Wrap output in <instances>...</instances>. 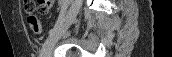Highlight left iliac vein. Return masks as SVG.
<instances>
[{
    "mask_svg": "<svg viewBox=\"0 0 172 57\" xmlns=\"http://www.w3.org/2000/svg\"><path fill=\"white\" fill-rule=\"evenodd\" d=\"M80 7H81V1L76 0L73 2L63 22L60 25L53 28L52 32L45 40L41 51V57L51 56L52 49L55 43L61 37V35L68 29V27L72 24V22L74 21L80 10Z\"/></svg>",
    "mask_w": 172,
    "mask_h": 57,
    "instance_id": "left-iliac-vein-1",
    "label": "left iliac vein"
}]
</instances>
